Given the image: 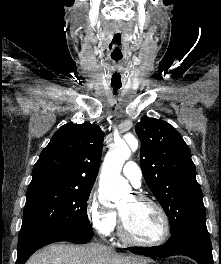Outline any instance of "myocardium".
<instances>
[{"label": "myocardium", "mask_w": 221, "mask_h": 264, "mask_svg": "<svg viewBox=\"0 0 221 264\" xmlns=\"http://www.w3.org/2000/svg\"><path fill=\"white\" fill-rule=\"evenodd\" d=\"M133 198L138 202H146L155 207V209L160 214L163 221V233L161 237L155 241L145 242L135 239L130 232L128 231L126 224L119 212V235L122 240L128 244L140 246V247H157L164 244L170 237L171 234V223L169 216L163 206L154 198L144 195V194H136Z\"/></svg>", "instance_id": "obj_1"}]
</instances>
